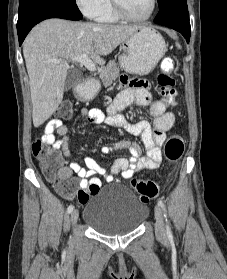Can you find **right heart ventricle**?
<instances>
[{"instance_id": "1", "label": "right heart ventricle", "mask_w": 227, "mask_h": 279, "mask_svg": "<svg viewBox=\"0 0 227 279\" xmlns=\"http://www.w3.org/2000/svg\"><path fill=\"white\" fill-rule=\"evenodd\" d=\"M96 18L102 22H117L122 19L114 12L110 0H108L107 4L96 16Z\"/></svg>"}]
</instances>
